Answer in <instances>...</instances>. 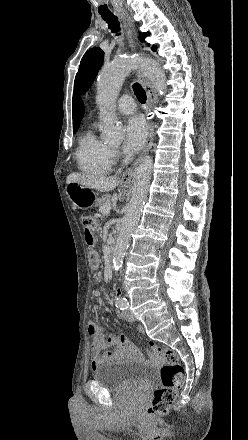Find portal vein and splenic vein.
Segmentation results:
<instances>
[{"label":"portal vein and splenic vein","mask_w":248,"mask_h":440,"mask_svg":"<svg viewBox=\"0 0 248 440\" xmlns=\"http://www.w3.org/2000/svg\"><path fill=\"white\" fill-rule=\"evenodd\" d=\"M110 209H111V205L104 206V207H103V213H104V214L109 213Z\"/></svg>","instance_id":"1"}]
</instances>
